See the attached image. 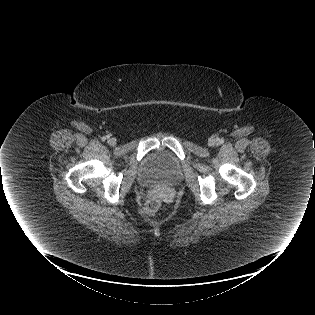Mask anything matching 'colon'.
Listing matches in <instances>:
<instances>
[{
  "label": "colon",
  "mask_w": 315,
  "mask_h": 315,
  "mask_svg": "<svg viewBox=\"0 0 315 315\" xmlns=\"http://www.w3.org/2000/svg\"><path fill=\"white\" fill-rule=\"evenodd\" d=\"M161 206V200L158 196L153 195L145 203L144 210L147 214L155 213Z\"/></svg>",
  "instance_id": "colon-1"
}]
</instances>
